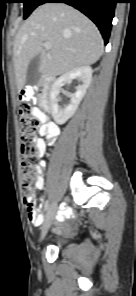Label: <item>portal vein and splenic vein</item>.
Masks as SVG:
<instances>
[{
  "label": "portal vein and splenic vein",
  "instance_id": "obj_1",
  "mask_svg": "<svg viewBox=\"0 0 136 296\" xmlns=\"http://www.w3.org/2000/svg\"><path fill=\"white\" fill-rule=\"evenodd\" d=\"M43 46H44L45 49H51L52 48V45L49 42H45L43 44Z\"/></svg>",
  "mask_w": 136,
  "mask_h": 296
}]
</instances>
